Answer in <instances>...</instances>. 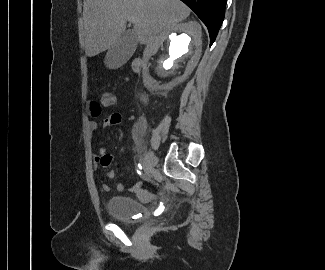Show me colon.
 <instances>
[{"instance_id": "colon-1", "label": "colon", "mask_w": 325, "mask_h": 270, "mask_svg": "<svg viewBox=\"0 0 325 270\" xmlns=\"http://www.w3.org/2000/svg\"><path fill=\"white\" fill-rule=\"evenodd\" d=\"M100 102L104 107H111L115 103V96L111 92H104L101 96Z\"/></svg>"}]
</instances>
